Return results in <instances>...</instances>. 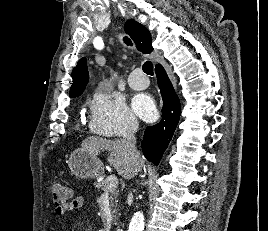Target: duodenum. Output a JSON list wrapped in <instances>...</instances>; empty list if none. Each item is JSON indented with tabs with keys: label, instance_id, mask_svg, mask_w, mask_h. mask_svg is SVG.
I'll use <instances>...</instances> for the list:
<instances>
[{
	"label": "duodenum",
	"instance_id": "1",
	"mask_svg": "<svg viewBox=\"0 0 268 231\" xmlns=\"http://www.w3.org/2000/svg\"><path fill=\"white\" fill-rule=\"evenodd\" d=\"M118 231H123L122 229H119Z\"/></svg>",
	"mask_w": 268,
	"mask_h": 231
}]
</instances>
